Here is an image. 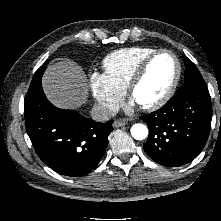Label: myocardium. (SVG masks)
Listing matches in <instances>:
<instances>
[{
  "instance_id": "myocardium-1",
  "label": "myocardium",
  "mask_w": 221,
  "mask_h": 221,
  "mask_svg": "<svg viewBox=\"0 0 221 221\" xmlns=\"http://www.w3.org/2000/svg\"><path fill=\"white\" fill-rule=\"evenodd\" d=\"M163 53L170 54L173 57L174 62H175V66H176L175 75H174V78H173L171 84L169 85L168 89L158 99H156L152 102H149V103L138 104L139 107L144 110H155V109L162 107L173 96V94L176 91V88L179 84L181 72H182L181 63H180L179 58L177 57V55L173 51H171L169 49H158V50H155L154 52H152L150 55H148L140 63V65L136 69V71H135V73H134L132 79L130 80V83L126 89L129 98L133 99L134 92H135L136 88L138 87V85L144 79L151 62L157 56H159Z\"/></svg>"
}]
</instances>
